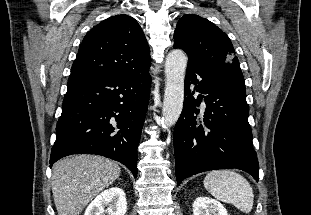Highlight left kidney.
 I'll use <instances>...</instances> for the list:
<instances>
[{
	"label": "left kidney",
	"instance_id": "obj_1",
	"mask_svg": "<svg viewBox=\"0 0 311 215\" xmlns=\"http://www.w3.org/2000/svg\"><path fill=\"white\" fill-rule=\"evenodd\" d=\"M193 215H228V213L217 200L200 196L193 203Z\"/></svg>",
	"mask_w": 311,
	"mask_h": 215
}]
</instances>
